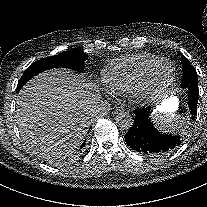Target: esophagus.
I'll use <instances>...</instances> for the list:
<instances>
[{
    "label": "esophagus",
    "mask_w": 207,
    "mask_h": 207,
    "mask_svg": "<svg viewBox=\"0 0 207 207\" xmlns=\"http://www.w3.org/2000/svg\"><path fill=\"white\" fill-rule=\"evenodd\" d=\"M124 112H125V110L122 107H116L113 111V113L116 114V115L123 114Z\"/></svg>",
    "instance_id": "obj_1"
}]
</instances>
